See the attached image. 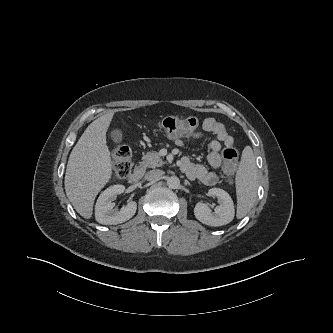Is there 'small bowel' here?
<instances>
[{
	"instance_id": "small-bowel-1",
	"label": "small bowel",
	"mask_w": 333,
	"mask_h": 333,
	"mask_svg": "<svg viewBox=\"0 0 333 333\" xmlns=\"http://www.w3.org/2000/svg\"><path fill=\"white\" fill-rule=\"evenodd\" d=\"M206 133L215 135V139L210 141L207 160L212 169H219L222 166L221 149L222 146H232L233 138L227 132L225 126L214 118L204 120L202 130L192 132L189 137L192 140H198L204 137ZM175 144L179 147L184 145L182 139H175ZM183 172L191 179H197L207 186H214L218 183V176L214 171L209 170L206 166L194 163L190 158L183 157L180 161Z\"/></svg>"
}]
</instances>
